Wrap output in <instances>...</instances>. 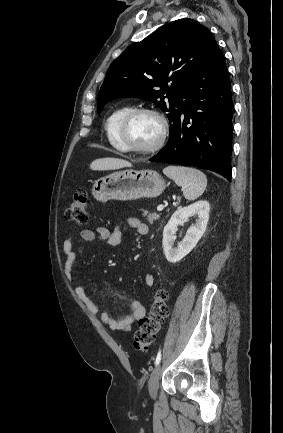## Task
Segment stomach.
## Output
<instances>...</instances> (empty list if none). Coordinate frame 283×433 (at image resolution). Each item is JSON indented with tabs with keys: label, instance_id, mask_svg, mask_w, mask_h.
<instances>
[{
	"label": "stomach",
	"instance_id": "0dacf381",
	"mask_svg": "<svg viewBox=\"0 0 283 433\" xmlns=\"http://www.w3.org/2000/svg\"><path fill=\"white\" fill-rule=\"evenodd\" d=\"M165 180L156 170H120L95 180L92 194L96 200H137L162 194Z\"/></svg>",
	"mask_w": 283,
	"mask_h": 433
}]
</instances>
